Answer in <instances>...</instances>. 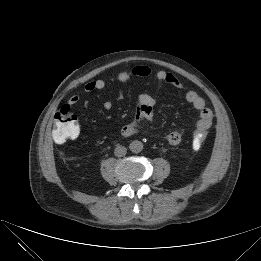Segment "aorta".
Wrapping results in <instances>:
<instances>
[{
	"instance_id": "1",
	"label": "aorta",
	"mask_w": 261,
	"mask_h": 261,
	"mask_svg": "<svg viewBox=\"0 0 261 261\" xmlns=\"http://www.w3.org/2000/svg\"><path fill=\"white\" fill-rule=\"evenodd\" d=\"M129 149L133 152V153H139L143 150V143L139 140H134L130 143L129 145Z\"/></svg>"
}]
</instances>
